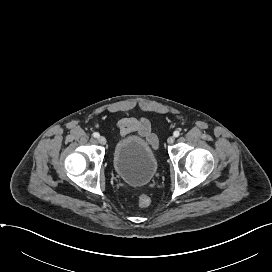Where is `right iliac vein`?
Masks as SVG:
<instances>
[{
    "label": "right iliac vein",
    "instance_id": "63e3f726",
    "mask_svg": "<svg viewBox=\"0 0 272 272\" xmlns=\"http://www.w3.org/2000/svg\"><path fill=\"white\" fill-rule=\"evenodd\" d=\"M98 141H99V143H100L101 145H105V144H106V138L103 137V136H100V137L98 138Z\"/></svg>",
    "mask_w": 272,
    "mask_h": 272
}]
</instances>
